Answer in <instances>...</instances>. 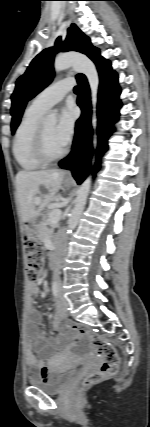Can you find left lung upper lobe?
I'll return each instance as SVG.
<instances>
[{"mask_svg": "<svg viewBox=\"0 0 150 427\" xmlns=\"http://www.w3.org/2000/svg\"><path fill=\"white\" fill-rule=\"evenodd\" d=\"M78 51L86 54L94 63L100 58L99 50L92 46L89 37H87L75 24L68 29V34L64 42L59 37L55 46L44 49L31 62L25 74L16 82L15 91L12 94V122L11 130L14 132L18 127L23 110L27 101L42 91L53 79V61L55 53L59 51ZM83 74H78L77 79L82 78Z\"/></svg>", "mask_w": 150, "mask_h": 427, "instance_id": "obj_1", "label": "left lung upper lobe"}]
</instances>
